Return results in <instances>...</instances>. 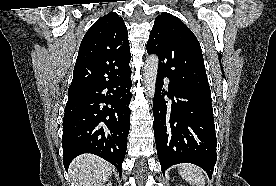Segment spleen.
Here are the masks:
<instances>
[{"label":"spleen","mask_w":276,"mask_h":186,"mask_svg":"<svg viewBox=\"0 0 276 186\" xmlns=\"http://www.w3.org/2000/svg\"><path fill=\"white\" fill-rule=\"evenodd\" d=\"M178 172L192 186H205V178L199 167L192 164H180Z\"/></svg>","instance_id":"spleen-1"}]
</instances>
